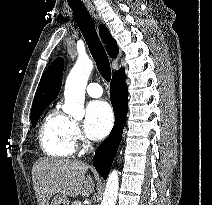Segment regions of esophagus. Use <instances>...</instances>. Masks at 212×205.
Masks as SVG:
<instances>
[{
  "mask_svg": "<svg viewBox=\"0 0 212 205\" xmlns=\"http://www.w3.org/2000/svg\"><path fill=\"white\" fill-rule=\"evenodd\" d=\"M87 7H88L90 13H91L94 17H96L95 9H94L93 5H92V4H87Z\"/></svg>",
  "mask_w": 212,
  "mask_h": 205,
  "instance_id": "1",
  "label": "esophagus"
}]
</instances>
